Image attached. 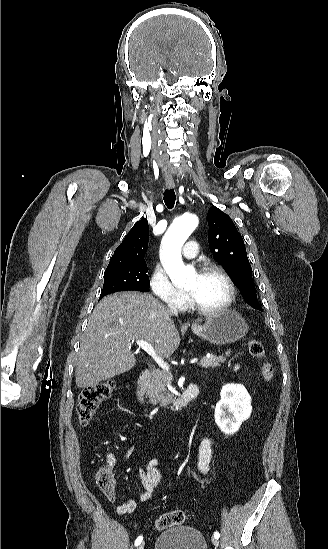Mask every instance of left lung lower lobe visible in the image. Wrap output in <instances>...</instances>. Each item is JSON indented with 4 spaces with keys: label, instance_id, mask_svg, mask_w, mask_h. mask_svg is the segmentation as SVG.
I'll use <instances>...</instances> for the list:
<instances>
[{
    "label": "left lung lower lobe",
    "instance_id": "0a47b994",
    "mask_svg": "<svg viewBox=\"0 0 328 549\" xmlns=\"http://www.w3.org/2000/svg\"><path fill=\"white\" fill-rule=\"evenodd\" d=\"M253 308L262 311V307L260 306V304L253 306Z\"/></svg>",
    "mask_w": 328,
    "mask_h": 549
}]
</instances>
